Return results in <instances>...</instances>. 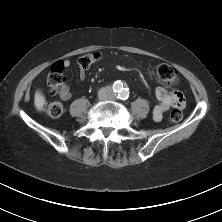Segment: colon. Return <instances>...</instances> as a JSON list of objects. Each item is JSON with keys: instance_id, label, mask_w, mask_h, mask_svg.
I'll return each instance as SVG.
<instances>
[{"instance_id": "5ec220e1", "label": "colon", "mask_w": 222, "mask_h": 222, "mask_svg": "<svg viewBox=\"0 0 222 222\" xmlns=\"http://www.w3.org/2000/svg\"><path fill=\"white\" fill-rule=\"evenodd\" d=\"M101 59V53L98 51L89 52L82 55L78 59L79 66L82 69H89L91 66L99 62ZM65 64L63 61H57L52 64L48 75V86L50 91L54 95L61 94L63 92V70ZM154 71L161 76V82L166 86H172L178 82L177 71L168 64H161L157 66ZM183 107V106H182ZM182 107L173 109L169 116V121L172 123L179 122L183 117ZM45 113L52 118L60 117L64 111L63 104L59 101H52L43 105Z\"/></svg>"}]
</instances>
